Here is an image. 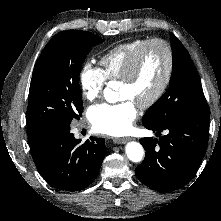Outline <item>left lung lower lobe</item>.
I'll return each instance as SVG.
<instances>
[{
    "mask_svg": "<svg viewBox=\"0 0 221 221\" xmlns=\"http://www.w3.org/2000/svg\"><path fill=\"white\" fill-rule=\"evenodd\" d=\"M209 108L204 112L184 113L160 128L144 125L160 136L139 141L146 150L145 159L136 168L138 179L159 192H171L186 185L196 174L208 144ZM158 144V146H157ZM156 147V148H155Z\"/></svg>",
    "mask_w": 221,
    "mask_h": 221,
    "instance_id": "obj_1",
    "label": "left lung lower lobe"
}]
</instances>
